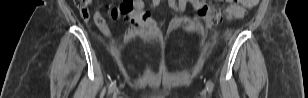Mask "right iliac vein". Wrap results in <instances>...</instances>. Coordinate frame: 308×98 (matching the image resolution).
I'll list each match as a JSON object with an SVG mask.
<instances>
[{
    "label": "right iliac vein",
    "mask_w": 308,
    "mask_h": 98,
    "mask_svg": "<svg viewBox=\"0 0 308 98\" xmlns=\"http://www.w3.org/2000/svg\"><path fill=\"white\" fill-rule=\"evenodd\" d=\"M116 91H117V88L115 87V88L111 91V93L116 94ZM111 93H110V94H111Z\"/></svg>",
    "instance_id": "right-iliac-vein-1"
}]
</instances>
